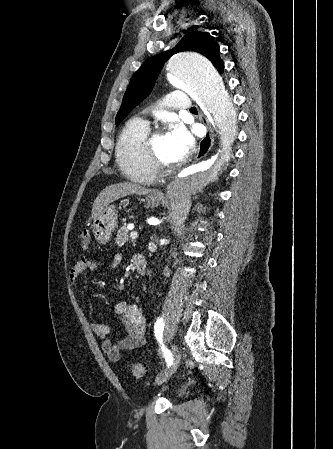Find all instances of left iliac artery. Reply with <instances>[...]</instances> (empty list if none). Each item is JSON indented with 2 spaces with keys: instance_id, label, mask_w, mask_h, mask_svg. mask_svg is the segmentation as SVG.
Wrapping results in <instances>:
<instances>
[{
  "instance_id": "44dca946",
  "label": "left iliac artery",
  "mask_w": 333,
  "mask_h": 449,
  "mask_svg": "<svg viewBox=\"0 0 333 449\" xmlns=\"http://www.w3.org/2000/svg\"><path fill=\"white\" fill-rule=\"evenodd\" d=\"M163 330H164V320L162 317H159L157 318L154 325V333L160 344V348L163 352L167 365L171 366V364L173 363V356L172 353L163 344L162 340Z\"/></svg>"
}]
</instances>
